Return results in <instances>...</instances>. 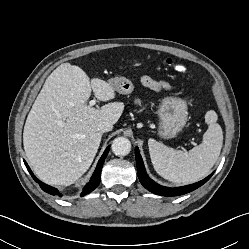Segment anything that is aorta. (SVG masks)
I'll use <instances>...</instances> for the list:
<instances>
[{
	"instance_id": "obj_1",
	"label": "aorta",
	"mask_w": 249,
	"mask_h": 249,
	"mask_svg": "<svg viewBox=\"0 0 249 249\" xmlns=\"http://www.w3.org/2000/svg\"><path fill=\"white\" fill-rule=\"evenodd\" d=\"M111 149L117 156H125L131 151V142L125 137H117L113 140Z\"/></svg>"
}]
</instances>
